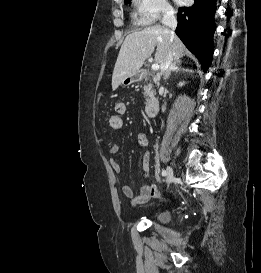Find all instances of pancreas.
<instances>
[{
    "label": "pancreas",
    "instance_id": "pancreas-1",
    "mask_svg": "<svg viewBox=\"0 0 261 273\" xmlns=\"http://www.w3.org/2000/svg\"><path fill=\"white\" fill-rule=\"evenodd\" d=\"M153 93V84L149 82L144 86V96L147 99V97L153 95Z\"/></svg>",
    "mask_w": 261,
    "mask_h": 273
}]
</instances>
